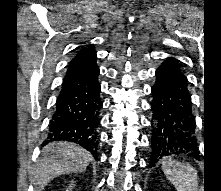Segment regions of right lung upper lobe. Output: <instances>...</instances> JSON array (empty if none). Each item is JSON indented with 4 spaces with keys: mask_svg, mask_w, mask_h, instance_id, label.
<instances>
[{
    "mask_svg": "<svg viewBox=\"0 0 221 191\" xmlns=\"http://www.w3.org/2000/svg\"><path fill=\"white\" fill-rule=\"evenodd\" d=\"M91 52H94V51H92L91 48H89V49H83L77 56L82 55V54L91 53Z\"/></svg>",
    "mask_w": 221,
    "mask_h": 191,
    "instance_id": "1",
    "label": "right lung upper lobe"
}]
</instances>
